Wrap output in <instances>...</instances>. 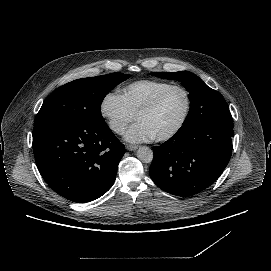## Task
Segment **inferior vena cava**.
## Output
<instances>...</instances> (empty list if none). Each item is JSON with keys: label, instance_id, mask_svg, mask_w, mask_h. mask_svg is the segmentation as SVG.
I'll return each mask as SVG.
<instances>
[{"label": "inferior vena cava", "instance_id": "1", "mask_svg": "<svg viewBox=\"0 0 271 271\" xmlns=\"http://www.w3.org/2000/svg\"><path fill=\"white\" fill-rule=\"evenodd\" d=\"M114 126V131L119 133V134H124L125 130H126V127H125V124L122 123V122H119V123H114L113 124Z\"/></svg>", "mask_w": 271, "mask_h": 271}]
</instances>
